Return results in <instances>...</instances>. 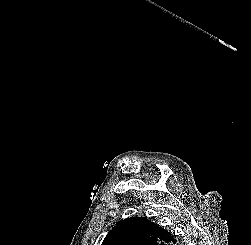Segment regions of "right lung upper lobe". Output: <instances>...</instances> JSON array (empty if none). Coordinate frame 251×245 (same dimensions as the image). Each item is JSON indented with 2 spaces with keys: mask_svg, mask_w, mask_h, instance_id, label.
Instances as JSON below:
<instances>
[{
  "mask_svg": "<svg viewBox=\"0 0 251 245\" xmlns=\"http://www.w3.org/2000/svg\"><path fill=\"white\" fill-rule=\"evenodd\" d=\"M176 242L162 226L146 217H135L118 222L102 245H171Z\"/></svg>",
  "mask_w": 251,
  "mask_h": 245,
  "instance_id": "obj_1",
  "label": "right lung upper lobe"
}]
</instances>
